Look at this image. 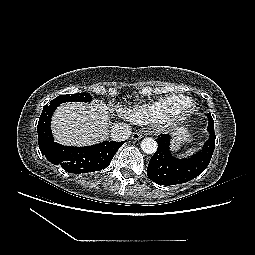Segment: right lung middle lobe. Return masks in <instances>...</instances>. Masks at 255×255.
Masks as SVG:
<instances>
[{"label": "right lung middle lobe", "mask_w": 255, "mask_h": 255, "mask_svg": "<svg viewBox=\"0 0 255 255\" xmlns=\"http://www.w3.org/2000/svg\"><path fill=\"white\" fill-rule=\"evenodd\" d=\"M91 100H92V96L90 95V93H86V92L60 95L57 98L53 99L49 103V105L44 106L38 125L40 127L46 126L44 123L51 121V116L54 110L62 103L73 102V101L90 102Z\"/></svg>", "instance_id": "right-lung-middle-lobe-1"}]
</instances>
